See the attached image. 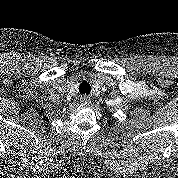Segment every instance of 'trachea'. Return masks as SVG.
<instances>
[{
  "label": "trachea",
  "instance_id": "1",
  "mask_svg": "<svg viewBox=\"0 0 178 178\" xmlns=\"http://www.w3.org/2000/svg\"><path fill=\"white\" fill-rule=\"evenodd\" d=\"M79 92L80 94H89L91 92V86L87 81H82L79 84Z\"/></svg>",
  "mask_w": 178,
  "mask_h": 178
}]
</instances>
